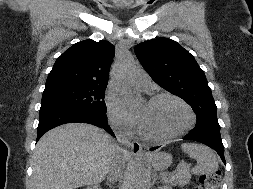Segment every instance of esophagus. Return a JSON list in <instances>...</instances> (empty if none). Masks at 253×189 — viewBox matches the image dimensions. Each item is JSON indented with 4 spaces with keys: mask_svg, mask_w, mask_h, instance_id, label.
<instances>
[{
    "mask_svg": "<svg viewBox=\"0 0 253 189\" xmlns=\"http://www.w3.org/2000/svg\"><path fill=\"white\" fill-rule=\"evenodd\" d=\"M131 151L134 155H143L142 145L138 141L131 143Z\"/></svg>",
    "mask_w": 253,
    "mask_h": 189,
    "instance_id": "obj_1",
    "label": "esophagus"
}]
</instances>
